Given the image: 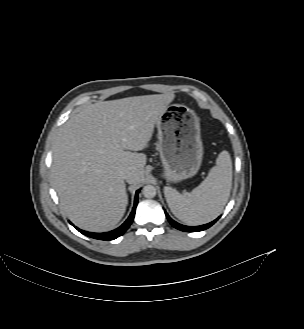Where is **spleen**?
<instances>
[{"instance_id": "1", "label": "spleen", "mask_w": 304, "mask_h": 329, "mask_svg": "<svg viewBox=\"0 0 304 329\" xmlns=\"http://www.w3.org/2000/svg\"><path fill=\"white\" fill-rule=\"evenodd\" d=\"M232 161L227 151H222L216 165L206 179L187 196L171 187L164 194L171 212L188 225H201L215 219L224 209L230 196Z\"/></svg>"}]
</instances>
